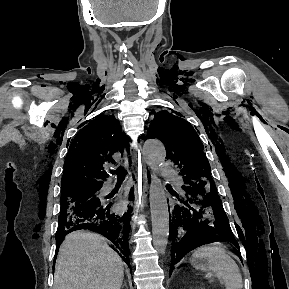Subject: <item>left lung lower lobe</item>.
<instances>
[{"label":"left lung lower lobe","mask_w":289,"mask_h":289,"mask_svg":"<svg viewBox=\"0 0 289 289\" xmlns=\"http://www.w3.org/2000/svg\"><path fill=\"white\" fill-rule=\"evenodd\" d=\"M182 189L180 195L172 192L177 201L171 213L169 210L171 267L198 247L197 240L202 238L226 240L238 248L215 186L206 187L203 183H195L184 184Z\"/></svg>","instance_id":"1"}]
</instances>
